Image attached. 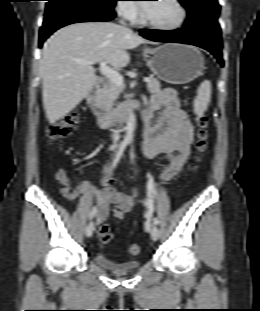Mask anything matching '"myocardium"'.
Returning a JSON list of instances; mask_svg holds the SVG:
<instances>
[{
	"label": "myocardium",
	"instance_id": "obj_1",
	"mask_svg": "<svg viewBox=\"0 0 260 311\" xmlns=\"http://www.w3.org/2000/svg\"><path fill=\"white\" fill-rule=\"evenodd\" d=\"M171 2L177 7L179 11V18L175 23L170 24V25H160V24L153 23L148 19L145 10L143 11V15L141 19L142 23L150 27L151 29H154L157 31H164V32L175 31L183 27V25L185 24L187 20V10L181 0H171Z\"/></svg>",
	"mask_w": 260,
	"mask_h": 311
}]
</instances>
